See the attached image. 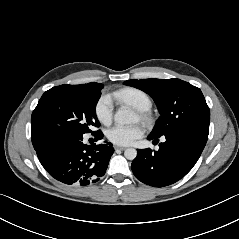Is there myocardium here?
Returning a JSON list of instances; mask_svg holds the SVG:
<instances>
[{
	"label": "myocardium",
	"instance_id": "1",
	"mask_svg": "<svg viewBox=\"0 0 239 239\" xmlns=\"http://www.w3.org/2000/svg\"><path fill=\"white\" fill-rule=\"evenodd\" d=\"M139 117L142 121L149 122V116L144 111H140Z\"/></svg>",
	"mask_w": 239,
	"mask_h": 239
}]
</instances>
